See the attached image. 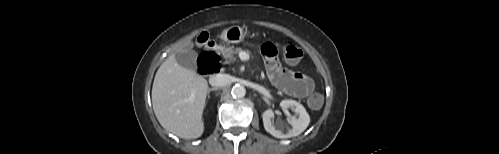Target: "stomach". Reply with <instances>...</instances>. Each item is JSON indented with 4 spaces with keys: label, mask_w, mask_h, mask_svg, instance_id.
I'll return each mask as SVG.
<instances>
[{
    "label": "stomach",
    "mask_w": 499,
    "mask_h": 154,
    "mask_svg": "<svg viewBox=\"0 0 499 154\" xmlns=\"http://www.w3.org/2000/svg\"><path fill=\"white\" fill-rule=\"evenodd\" d=\"M246 32L240 26H231L221 33V40L228 44H237L244 41Z\"/></svg>",
    "instance_id": "stomach-1"
}]
</instances>
